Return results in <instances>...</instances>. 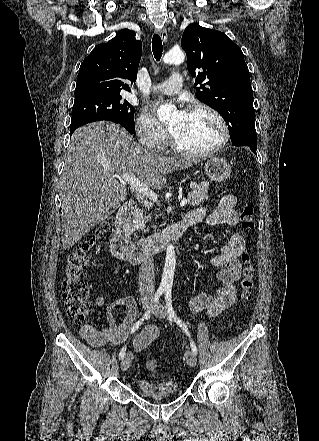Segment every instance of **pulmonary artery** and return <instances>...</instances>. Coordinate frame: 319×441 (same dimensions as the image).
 Wrapping results in <instances>:
<instances>
[{"label":"pulmonary artery","mask_w":319,"mask_h":441,"mask_svg":"<svg viewBox=\"0 0 319 441\" xmlns=\"http://www.w3.org/2000/svg\"><path fill=\"white\" fill-rule=\"evenodd\" d=\"M183 86V78L180 74H173L168 80L156 84L152 90L162 94L172 95L178 93Z\"/></svg>","instance_id":"e3ab8cb5"}]
</instances>
